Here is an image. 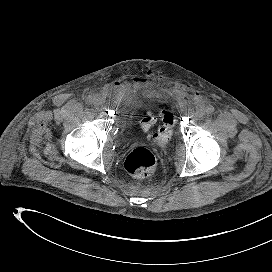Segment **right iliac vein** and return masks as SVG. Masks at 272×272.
<instances>
[{"label": "right iliac vein", "mask_w": 272, "mask_h": 272, "mask_svg": "<svg viewBox=\"0 0 272 272\" xmlns=\"http://www.w3.org/2000/svg\"><path fill=\"white\" fill-rule=\"evenodd\" d=\"M93 105L96 109H98L99 105H100V101L96 98L93 99Z\"/></svg>", "instance_id": "1"}]
</instances>
